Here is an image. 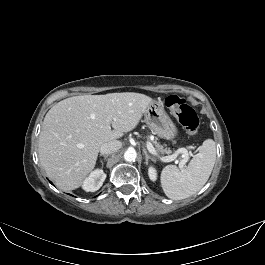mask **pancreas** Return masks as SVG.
<instances>
[{
    "label": "pancreas",
    "instance_id": "obj_1",
    "mask_svg": "<svg viewBox=\"0 0 265 265\" xmlns=\"http://www.w3.org/2000/svg\"><path fill=\"white\" fill-rule=\"evenodd\" d=\"M154 145L156 148V151L160 154H171L172 151L170 150V148H164L162 145H160L157 141H154Z\"/></svg>",
    "mask_w": 265,
    "mask_h": 265
}]
</instances>
